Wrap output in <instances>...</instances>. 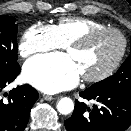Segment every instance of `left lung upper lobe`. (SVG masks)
Wrapping results in <instances>:
<instances>
[{"label":"left lung upper lobe","instance_id":"5c2ea615","mask_svg":"<svg viewBox=\"0 0 131 131\" xmlns=\"http://www.w3.org/2000/svg\"><path fill=\"white\" fill-rule=\"evenodd\" d=\"M90 88L101 92H118L131 95V49L129 57L114 75L95 83Z\"/></svg>","mask_w":131,"mask_h":131}]
</instances>
